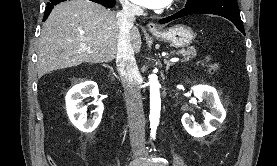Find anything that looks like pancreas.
<instances>
[{
  "label": "pancreas",
  "mask_w": 277,
  "mask_h": 166,
  "mask_svg": "<svg viewBox=\"0 0 277 166\" xmlns=\"http://www.w3.org/2000/svg\"><path fill=\"white\" fill-rule=\"evenodd\" d=\"M172 53H174V52H172ZM177 54H181L185 58V60L194 58L197 55L194 47H190L188 49H181L177 52Z\"/></svg>",
  "instance_id": "cf45deb5"
}]
</instances>
